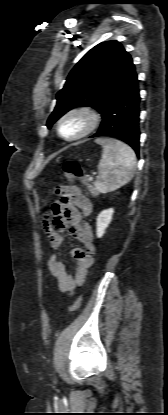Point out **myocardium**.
<instances>
[{"mask_svg": "<svg viewBox=\"0 0 168 415\" xmlns=\"http://www.w3.org/2000/svg\"><path fill=\"white\" fill-rule=\"evenodd\" d=\"M72 115H82V116H84L86 118L87 125L81 133H79V134H77L73 137H65L61 132V125H62V122L66 118H68L69 116H72ZM100 121H101V115L98 112V110L95 109L94 107L89 106V105L76 106V107H73V108H70L69 110H67L59 118V120L57 122V133L65 141H69V142L77 141V140H80V139H83V138L87 137L93 131H95L97 129V127L99 126Z\"/></svg>", "mask_w": 168, "mask_h": 415, "instance_id": "obj_1", "label": "myocardium"}]
</instances>
